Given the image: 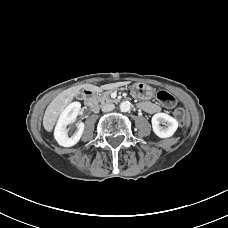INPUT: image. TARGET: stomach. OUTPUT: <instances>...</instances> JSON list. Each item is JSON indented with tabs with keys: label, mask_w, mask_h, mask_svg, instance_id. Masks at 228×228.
Returning <instances> with one entry per match:
<instances>
[{
	"label": "stomach",
	"mask_w": 228,
	"mask_h": 228,
	"mask_svg": "<svg viewBox=\"0 0 228 228\" xmlns=\"http://www.w3.org/2000/svg\"><path fill=\"white\" fill-rule=\"evenodd\" d=\"M130 89L132 95L139 99L148 100L153 97L152 87L144 82H136L131 85Z\"/></svg>",
	"instance_id": "stomach-1"
}]
</instances>
